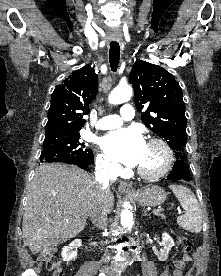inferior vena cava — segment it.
Returning <instances> with one entry per match:
<instances>
[{
    "instance_id": "1",
    "label": "inferior vena cava",
    "mask_w": 221,
    "mask_h": 276,
    "mask_svg": "<svg viewBox=\"0 0 221 276\" xmlns=\"http://www.w3.org/2000/svg\"><path fill=\"white\" fill-rule=\"evenodd\" d=\"M95 176L100 189L98 196L90 208L89 217L96 227L104 230L108 224V210L103 199V194L109 186V181L117 176V168L109 163H101L96 167Z\"/></svg>"
}]
</instances>
